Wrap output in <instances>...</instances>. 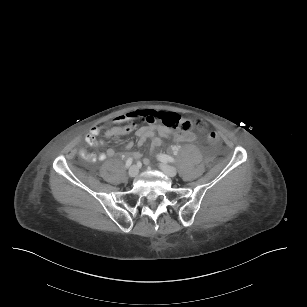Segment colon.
Wrapping results in <instances>:
<instances>
[{
	"instance_id": "colon-1",
	"label": "colon",
	"mask_w": 307,
	"mask_h": 307,
	"mask_svg": "<svg viewBox=\"0 0 307 307\" xmlns=\"http://www.w3.org/2000/svg\"><path fill=\"white\" fill-rule=\"evenodd\" d=\"M157 120L172 130L177 131L179 134H186L194 129H197L198 131L205 132L207 134L208 140L211 144H216L218 142V134L212 130L208 131L206 124L200 119L191 120L183 118L180 114L177 113H163L157 116ZM130 129L131 126L124 130L126 131ZM124 130H117L115 133L111 134V136L116 138L121 135Z\"/></svg>"
}]
</instances>
